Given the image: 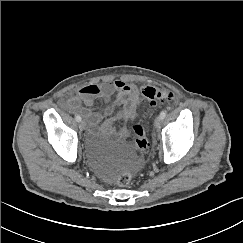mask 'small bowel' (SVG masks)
<instances>
[{"label": "small bowel", "instance_id": "1", "mask_svg": "<svg viewBox=\"0 0 243 243\" xmlns=\"http://www.w3.org/2000/svg\"><path fill=\"white\" fill-rule=\"evenodd\" d=\"M112 97L113 101L102 114L91 112L82 106L91 107L97 98L109 102ZM63 106L81 112L93 128L103 117L110 116L115 108L121 107V110L106 121L104 126L111 128L115 123H122L118 131L121 137L125 138L128 135V130L124 123L134 119L139 108L138 89L134 84L123 80H109L102 84H83L78 86L75 93L64 99Z\"/></svg>", "mask_w": 243, "mask_h": 243}]
</instances>
